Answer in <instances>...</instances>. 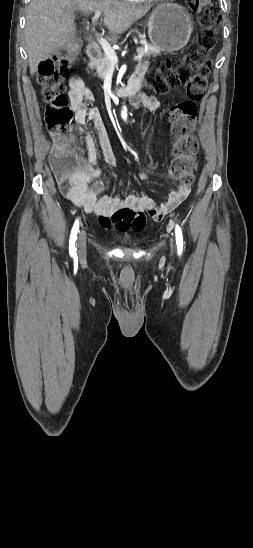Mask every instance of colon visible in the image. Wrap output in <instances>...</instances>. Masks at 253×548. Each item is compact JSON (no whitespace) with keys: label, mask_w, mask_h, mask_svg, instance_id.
<instances>
[{"label":"colon","mask_w":253,"mask_h":548,"mask_svg":"<svg viewBox=\"0 0 253 548\" xmlns=\"http://www.w3.org/2000/svg\"><path fill=\"white\" fill-rule=\"evenodd\" d=\"M198 14L202 34L198 38L199 48L182 57H171L161 62L145 77V87L159 95L185 84L188 100L171 109L170 124L175 138L174 159L170 165V176L186 184L194 181L198 144L192 131L197 120L196 102L206 92L208 62L206 54L214 48L220 18L211 0H187ZM77 50L70 47L66 52L48 58L39 65L38 81L42 86V97L46 102L44 119L53 138L51 164L58 181L67 185L76 165L72 155L70 127L73 111L65 94V79L69 65L75 59ZM146 167L157 171L154 158Z\"/></svg>","instance_id":"obj_1"}]
</instances>
